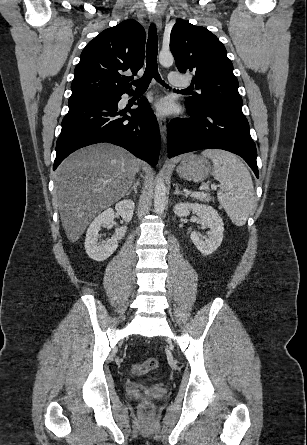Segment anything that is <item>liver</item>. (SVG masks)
I'll return each instance as SVG.
<instances>
[{"instance_id": "obj_1", "label": "liver", "mask_w": 307, "mask_h": 445, "mask_svg": "<svg viewBox=\"0 0 307 445\" xmlns=\"http://www.w3.org/2000/svg\"><path fill=\"white\" fill-rule=\"evenodd\" d=\"M137 168L131 152L108 142L85 146L63 160L55 170L54 196L70 243L80 239L96 214L125 196Z\"/></svg>"}]
</instances>
